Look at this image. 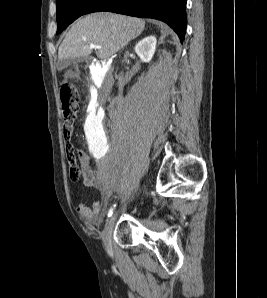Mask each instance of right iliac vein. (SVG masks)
Masks as SVG:
<instances>
[{"label":"right iliac vein","instance_id":"1","mask_svg":"<svg viewBox=\"0 0 267 298\" xmlns=\"http://www.w3.org/2000/svg\"><path fill=\"white\" fill-rule=\"evenodd\" d=\"M115 219H116V214L112 215L107 220L106 225L101 234L105 250L107 251L108 254L112 253V231H113Z\"/></svg>","mask_w":267,"mask_h":298}]
</instances>
